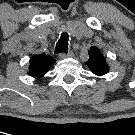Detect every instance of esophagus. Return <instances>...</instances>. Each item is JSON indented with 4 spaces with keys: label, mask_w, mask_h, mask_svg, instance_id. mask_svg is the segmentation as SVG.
<instances>
[{
    "label": "esophagus",
    "mask_w": 135,
    "mask_h": 135,
    "mask_svg": "<svg viewBox=\"0 0 135 135\" xmlns=\"http://www.w3.org/2000/svg\"><path fill=\"white\" fill-rule=\"evenodd\" d=\"M73 56V52L72 51H69V52H67V53H61L60 55H59V58L60 59H65V58H70V57H72Z\"/></svg>",
    "instance_id": "34e87169"
}]
</instances>
